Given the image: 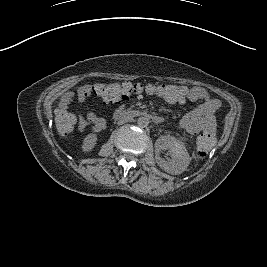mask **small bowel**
Instances as JSON below:
<instances>
[{
	"label": "small bowel",
	"instance_id": "c3829d8e",
	"mask_svg": "<svg viewBox=\"0 0 267 267\" xmlns=\"http://www.w3.org/2000/svg\"><path fill=\"white\" fill-rule=\"evenodd\" d=\"M90 86L82 85L67 93L61 100L60 109L65 110L69 103L77 98L79 102L86 100ZM185 95L178 103L188 100L191 102L203 101L199 106L185 114L179 121V126L190 134L196 135L200 132H216L215 112L221 108L220 100L209 97L202 87H181ZM176 103V102H174ZM78 126L80 130L90 128L93 132H100L106 126L103 118L96 116L91 111L78 113Z\"/></svg>",
	"mask_w": 267,
	"mask_h": 267
}]
</instances>
